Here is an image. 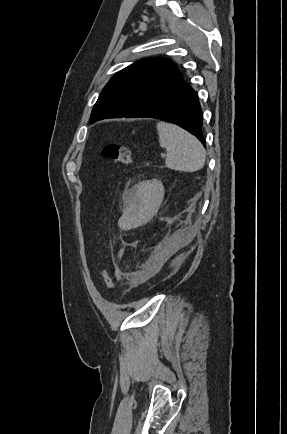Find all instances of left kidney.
I'll use <instances>...</instances> for the list:
<instances>
[{
    "label": "left kidney",
    "instance_id": "5707ae66",
    "mask_svg": "<svg viewBox=\"0 0 287 434\" xmlns=\"http://www.w3.org/2000/svg\"><path fill=\"white\" fill-rule=\"evenodd\" d=\"M164 192L162 182L156 179L138 183L126 196L128 216L149 220L161 204Z\"/></svg>",
    "mask_w": 287,
    "mask_h": 434
}]
</instances>
